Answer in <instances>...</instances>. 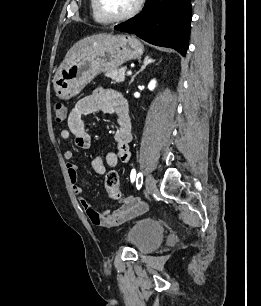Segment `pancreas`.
Segmentation results:
<instances>
[{
  "label": "pancreas",
  "instance_id": "cf45deb5",
  "mask_svg": "<svg viewBox=\"0 0 261 306\" xmlns=\"http://www.w3.org/2000/svg\"><path fill=\"white\" fill-rule=\"evenodd\" d=\"M125 68L116 69L106 73V76L111 78L114 82L121 83L125 80Z\"/></svg>",
  "mask_w": 261,
  "mask_h": 306
}]
</instances>
